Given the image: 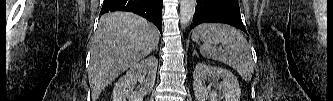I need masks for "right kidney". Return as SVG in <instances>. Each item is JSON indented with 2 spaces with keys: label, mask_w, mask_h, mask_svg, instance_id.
<instances>
[{
  "label": "right kidney",
  "mask_w": 333,
  "mask_h": 101,
  "mask_svg": "<svg viewBox=\"0 0 333 101\" xmlns=\"http://www.w3.org/2000/svg\"><path fill=\"white\" fill-rule=\"evenodd\" d=\"M158 61L149 56L140 63L130 66L126 75L121 77L113 89V101H143L144 95L151 93L157 72ZM141 82L139 92H131L128 88Z\"/></svg>",
  "instance_id": "1"
}]
</instances>
